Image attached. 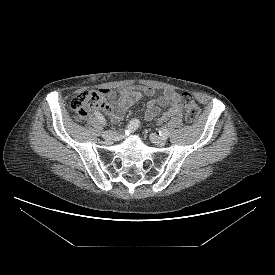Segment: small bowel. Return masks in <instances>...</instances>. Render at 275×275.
I'll use <instances>...</instances> for the list:
<instances>
[{"label":"small bowel","instance_id":"c3829d8e","mask_svg":"<svg viewBox=\"0 0 275 275\" xmlns=\"http://www.w3.org/2000/svg\"><path fill=\"white\" fill-rule=\"evenodd\" d=\"M101 93L108 100L106 108L103 110L110 119L117 123L123 115L141 98L154 96L155 99L147 103L145 111L146 120H156L164 122L181 117L182 105L181 97L174 90L166 88L156 92L154 88L148 86H122L118 89V94L111 89H101ZM162 107H168L165 112L160 113Z\"/></svg>","mask_w":275,"mask_h":275}]
</instances>
